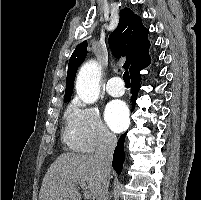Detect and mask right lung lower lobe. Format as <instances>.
Instances as JSON below:
<instances>
[{
	"label": "right lung lower lobe",
	"mask_w": 201,
	"mask_h": 200,
	"mask_svg": "<svg viewBox=\"0 0 201 200\" xmlns=\"http://www.w3.org/2000/svg\"><path fill=\"white\" fill-rule=\"evenodd\" d=\"M139 72H136L133 75H131V89H132L131 90V92H132V98H131L132 109H131V111H133L135 108L136 98H137V94H138V91L140 88L141 76H140ZM124 142H125V134L119 138L117 146H116L114 154H113L112 166L118 175H120V173L122 172L123 163H124V159H125Z\"/></svg>",
	"instance_id": "98d812e1"
}]
</instances>
